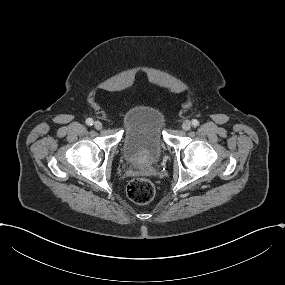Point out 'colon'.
I'll use <instances>...</instances> for the list:
<instances>
[{
	"label": "colon",
	"instance_id": "colon-1",
	"mask_svg": "<svg viewBox=\"0 0 285 285\" xmlns=\"http://www.w3.org/2000/svg\"><path fill=\"white\" fill-rule=\"evenodd\" d=\"M128 198L136 204H147L155 195L154 185L147 179L137 178L127 186Z\"/></svg>",
	"mask_w": 285,
	"mask_h": 285
}]
</instances>
